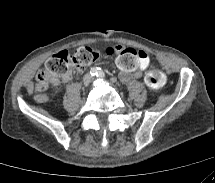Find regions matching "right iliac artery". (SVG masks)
I'll return each mask as SVG.
<instances>
[{
	"label": "right iliac artery",
	"mask_w": 215,
	"mask_h": 183,
	"mask_svg": "<svg viewBox=\"0 0 215 183\" xmlns=\"http://www.w3.org/2000/svg\"><path fill=\"white\" fill-rule=\"evenodd\" d=\"M98 71H99L98 68H91L90 74H91L92 76H97V75H98Z\"/></svg>",
	"instance_id": "right-iliac-artery-1"
}]
</instances>
